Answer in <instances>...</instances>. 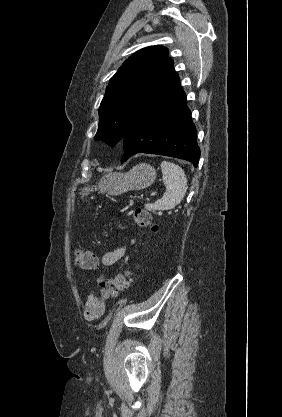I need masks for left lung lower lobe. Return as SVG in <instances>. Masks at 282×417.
Returning a JSON list of instances; mask_svg holds the SVG:
<instances>
[{"label": "left lung lower lobe", "mask_w": 282, "mask_h": 417, "mask_svg": "<svg viewBox=\"0 0 282 417\" xmlns=\"http://www.w3.org/2000/svg\"><path fill=\"white\" fill-rule=\"evenodd\" d=\"M186 103L172 67L130 116L122 138L125 153L121 162L136 153H147L185 159L197 167L200 149Z\"/></svg>", "instance_id": "0a47b994"}]
</instances>
